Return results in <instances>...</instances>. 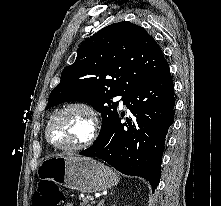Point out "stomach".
<instances>
[{
  "mask_svg": "<svg viewBox=\"0 0 221 206\" xmlns=\"http://www.w3.org/2000/svg\"><path fill=\"white\" fill-rule=\"evenodd\" d=\"M37 174L39 179L51 180L84 193L111 188L120 180L109 167L88 157H48L41 162Z\"/></svg>",
  "mask_w": 221,
  "mask_h": 206,
  "instance_id": "1",
  "label": "stomach"
}]
</instances>
